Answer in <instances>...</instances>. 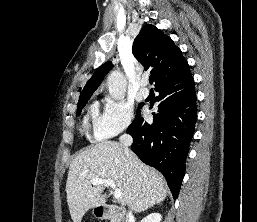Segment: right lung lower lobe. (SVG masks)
Instances as JSON below:
<instances>
[{"mask_svg":"<svg viewBox=\"0 0 257 222\" xmlns=\"http://www.w3.org/2000/svg\"><path fill=\"white\" fill-rule=\"evenodd\" d=\"M155 91L159 92V109L153 114V123H147L138 112L127 133L133 137L132 151L164 175L176 199L197 118L194 80L188 74L158 84Z\"/></svg>","mask_w":257,"mask_h":222,"instance_id":"obj_1","label":"right lung lower lobe"}]
</instances>
